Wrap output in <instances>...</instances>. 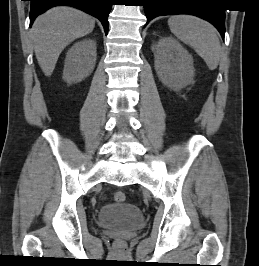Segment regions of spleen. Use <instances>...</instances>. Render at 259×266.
<instances>
[{
  "mask_svg": "<svg viewBox=\"0 0 259 266\" xmlns=\"http://www.w3.org/2000/svg\"><path fill=\"white\" fill-rule=\"evenodd\" d=\"M168 25L180 41L196 51L210 70L217 68L221 45L210 23L192 15H174L169 18Z\"/></svg>",
  "mask_w": 259,
  "mask_h": 266,
  "instance_id": "1",
  "label": "spleen"
}]
</instances>
